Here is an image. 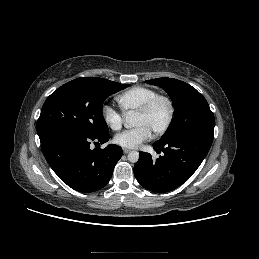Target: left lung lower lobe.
Returning a JSON list of instances; mask_svg holds the SVG:
<instances>
[{"label":"left lung lower lobe","mask_w":259,"mask_h":259,"mask_svg":"<svg viewBox=\"0 0 259 259\" xmlns=\"http://www.w3.org/2000/svg\"><path fill=\"white\" fill-rule=\"evenodd\" d=\"M213 138L186 133L166 140H158L153 148L164 153L156 160L151 154L139 152L134 174L141 186L153 192H169L184 182L200 166L209 152Z\"/></svg>","instance_id":"1"}]
</instances>
